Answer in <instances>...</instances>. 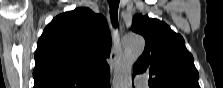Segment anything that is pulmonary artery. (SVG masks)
I'll use <instances>...</instances> for the list:
<instances>
[{"label":"pulmonary artery","mask_w":223,"mask_h":88,"mask_svg":"<svg viewBox=\"0 0 223 88\" xmlns=\"http://www.w3.org/2000/svg\"><path fill=\"white\" fill-rule=\"evenodd\" d=\"M135 84H136L137 87H140V88H145L146 87L145 79L142 76H137L136 77Z\"/></svg>","instance_id":"e3ab8cb5"}]
</instances>
